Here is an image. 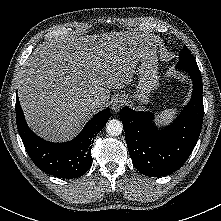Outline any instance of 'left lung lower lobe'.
<instances>
[{
	"mask_svg": "<svg viewBox=\"0 0 221 221\" xmlns=\"http://www.w3.org/2000/svg\"><path fill=\"white\" fill-rule=\"evenodd\" d=\"M193 93L176 120L165 129L153 125L154 114L136 112L128 107L120 111L129 154L135 168L146 176L161 177L182 167L192 153L203 122L202 78L189 72Z\"/></svg>",
	"mask_w": 221,
	"mask_h": 221,
	"instance_id": "0a47b994",
	"label": "left lung lower lobe"
}]
</instances>
